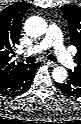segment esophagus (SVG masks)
Wrapping results in <instances>:
<instances>
[{
  "label": "esophagus",
  "instance_id": "34e87169",
  "mask_svg": "<svg viewBox=\"0 0 81 124\" xmlns=\"http://www.w3.org/2000/svg\"><path fill=\"white\" fill-rule=\"evenodd\" d=\"M47 65L54 67L56 66V63L52 62V61H46Z\"/></svg>",
  "mask_w": 81,
  "mask_h": 124
}]
</instances>
